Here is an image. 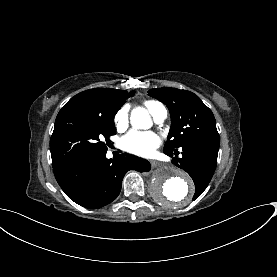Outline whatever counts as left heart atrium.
<instances>
[{
  "label": "left heart atrium",
  "mask_w": 277,
  "mask_h": 277,
  "mask_svg": "<svg viewBox=\"0 0 277 277\" xmlns=\"http://www.w3.org/2000/svg\"><path fill=\"white\" fill-rule=\"evenodd\" d=\"M159 138L153 132L130 131L121 140V147L140 156L151 155L159 145Z\"/></svg>",
  "instance_id": "obj_1"
}]
</instances>
